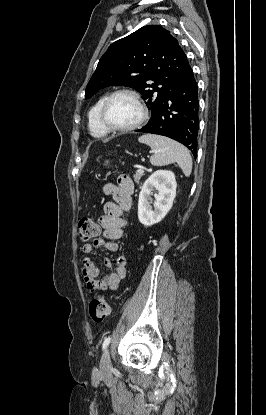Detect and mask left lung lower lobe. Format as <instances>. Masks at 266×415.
Returning <instances> with one entry per match:
<instances>
[{"label":"left lung lower lobe","mask_w":266,"mask_h":415,"mask_svg":"<svg viewBox=\"0 0 266 415\" xmlns=\"http://www.w3.org/2000/svg\"><path fill=\"white\" fill-rule=\"evenodd\" d=\"M198 86L189 63L166 100L137 132L167 136L185 145L196 158L199 129Z\"/></svg>","instance_id":"left-lung-lower-lobe-1"}]
</instances>
